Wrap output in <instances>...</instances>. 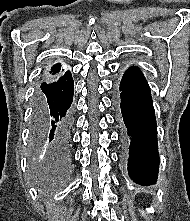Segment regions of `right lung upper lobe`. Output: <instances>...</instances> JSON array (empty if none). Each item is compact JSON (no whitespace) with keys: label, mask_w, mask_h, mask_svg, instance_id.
I'll return each mask as SVG.
<instances>
[{"label":"right lung upper lobe","mask_w":190,"mask_h":221,"mask_svg":"<svg viewBox=\"0 0 190 221\" xmlns=\"http://www.w3.org/2000/svg\"><path fill=\"white\" fill-rule=\"evenodd\" d=\"M65 73H70L69 71H64L62 68H61V64H56L54 65L51 70L49 71L48 75H47V78H50V77H55V76H59V75H62V74H65Z\"/></svg>","instance_id":"1"}]
</instances>
